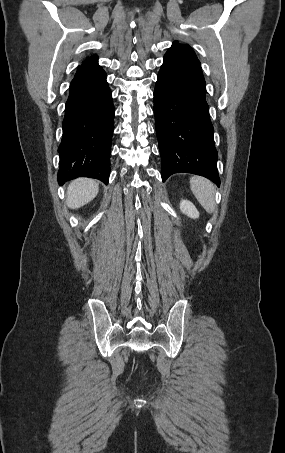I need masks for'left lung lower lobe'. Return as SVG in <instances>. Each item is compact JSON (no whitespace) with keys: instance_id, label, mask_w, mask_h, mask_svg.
<instances>
[{"instance_id":"obj_1","label":"left lung lower lobe","mask_w":285,"mask_h":453,"mask_svg":"<svg viewBox=\"0 0 285 453\" xmlns=\"http://www.w3.org/2000/svg\"><path fill=\"white\" fill-rule=\"evenodd\" d=\"M200 62L187 44L166 52L154 91V115L163 182L179 172L220 185L218 154Z\"/></svg>"}]
</instances>
